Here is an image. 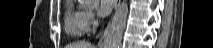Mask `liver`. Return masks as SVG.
Instances as JSON below:
<instances>
[{
    "mask_svg": "<svg viewBox=\"0 0 213 48\" xmlns=\"http://www.w3.org/2000/svg\"><path fill=\"white\" fill-rule=\"evenodd\" d=\"M66 48H93V45H91L90 43L85 42V41H80V42L74 43L72 45H69Z\"/></svg>",
    "mask_w": 213,
    "mask_h": 48,
    "instance_id": "6515ba94",
    "label": "liver"
}]
</instances>
